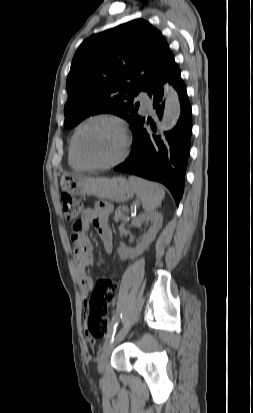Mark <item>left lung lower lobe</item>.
<instances>
[{
    "label": "left lung lower lobe",
    "mask_w": 253,
    "mask_h": 413,
    "mask_svg": "<svg viewBox=\"0 0 253 413\" xmlns=\"http://www.w3.org/2000/svg\"><path fill=\"white\" fill-rule=\"evenodd\" d=\"M167 81L176 89L181 104L177 125L166 132L165 136H160L155 133L156 125L150 118L139 116L131 128L133 147L130 155L114 170L161 182L170 190L178 205L184 192L192 134V112L186 87L174 57L148 90V95L153 97V108L160 120L165 105L162 85ZM148 124L152 130L147 127Z\"/></svg>",
    "instance_id": "obj_1"
}]
</instances>
